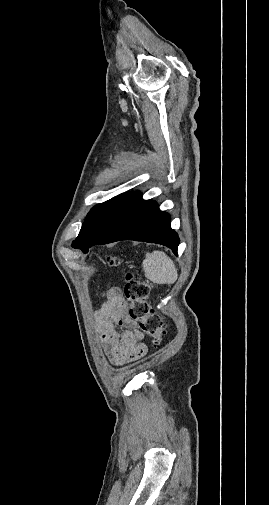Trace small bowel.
Instances as JSON below:
<instances>
[{
    "instance_id": "small-bowel-1",
    "label": "small bowel",
    "mask_w": 269,
    "mask_h": 505,
    "mask_svg": "<svg viewBox=\"0 0 269 505\" xmlns=\"http://www.w3.org/2000/svg\"><path fill=\"white\" fill-rule=\"evenodd\" d=\"M105 296L95 318L109 360L117 366L138 360L146 354L147 346L143 342L144 335L128 313L121 290L111 287Z\"/></svg>"
}]
</instances>
